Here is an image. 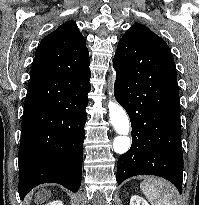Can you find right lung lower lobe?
<instances>
[{
  "instance_id": "1",
  "label": "right lung lower lobe",
  "mask_w": 199,
  "mask_h": 205,
  "mask_svg": "<svg viewBox=\"0 0 199 205\" xmlns=\"http://www.w3.org/2000/svg\"><path fill=\"white\" fill-rule=\"evenodd\" d=\"M90 76L69 79L62 93L24 109L18 154L22 200L43 183H58L72 192L79 189ZM49 89L45 82H30L26 99Z\"/></svg>"
}]
</instances>
